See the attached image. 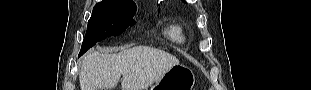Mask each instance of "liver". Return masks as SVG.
Returning <instances> with one entry per match:
<instances>
[{
	"instance_id": "liver-1",
	"label": "liver",
	"mask_w": 311,
	"mask_h": 90,
	"mask_svg": "<svg viewBox=\"0 0 311 90\" xmlns=\"http://www.w3.org/2000/svg\"><path fill=\"white\" fill-rule=\"evenodd\" d=\"M179 60L168 52L148 46H136L117 54L93 51L82 61L81 90H111L123 76L122 90H146Z\"/></svg>"
}]
</instances>
